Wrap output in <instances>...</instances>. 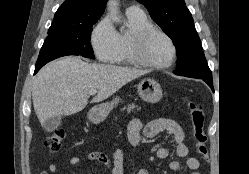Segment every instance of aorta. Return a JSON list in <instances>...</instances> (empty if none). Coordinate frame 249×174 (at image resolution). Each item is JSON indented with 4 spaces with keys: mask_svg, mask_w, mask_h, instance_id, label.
I'll return each mask as SVG.
<instances>
[{
    "mask_svg": "<svg viewBox=\"0 0 249 174\" xmlns=\"http://www.w3.org/2000/svg\"><path fill=\"white\" fill-rule=\"evenodd\" d=\"M117 6H118V3L116 0H109L108 2L109 14L115 22H120V17L118 15Z\"/></svg>",
    "mask_w": 249,
    "mask_h": 174,
    "instance_id": "1",
    "label": "aorta"
}]
</instances>
